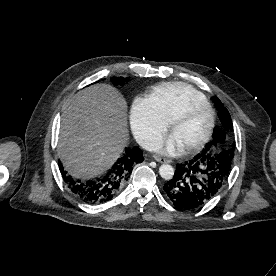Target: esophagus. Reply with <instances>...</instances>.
<instances>
[{
	"label": "esophagus",
	"mask_w": 276,
	"mask_h": 276,
	"mask_svg": "<svg viewBox=\"0 0 276 276\" xmlns=\"http://www.w3.org/2000/svg\"><path fill=\"white\" fill-rule=\"evenodd\" d=\"M154 159L160 163H170L171 160L159 156H154Z\"/></svg>",
	"instance_id": "1"
}]
</instances>
